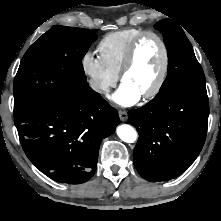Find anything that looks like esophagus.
Masks as SVG:
<instances>
[{
    "label": "esophagus",
    "mask_w": 221,
    "mask_h": 221,
    "mask_svg": "<svg viewBox=\"0 0 221 221\" xmlns=\"http://www.w3.org/2000/svg\"><path fill=\"white\" fill-rule=\"evenodd\" d=\"M119 117L121 121H126L128 119V114L125 111H119Z\"/></svg>",
    "instance_id": "esophagus-1"
}]
</instances>
